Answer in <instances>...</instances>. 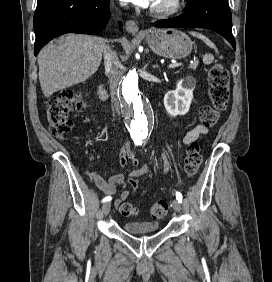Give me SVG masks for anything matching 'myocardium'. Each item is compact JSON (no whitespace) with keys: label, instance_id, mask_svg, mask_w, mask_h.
Masks as SVG:
<instances>
[{"label":"myocardium","instance_id":"f54148a6","mask_svg":"<svg viewBox=\"0 0 272 282\" xmlns=\"http://www.w3.org/2000/svg\"><path fill=\"white\" fill-rule=\"evenodd\" d=\"M182 7H183V0H175L174 4L168 9L158 10L151 8L150 12L155 16L166 18L176 15L178 12H180Z\"/></svg>","mask_w":272,"mask_h":282}]
</instances>
